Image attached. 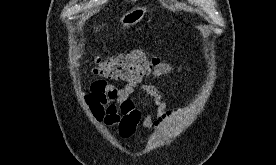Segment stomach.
Segmentation results:
<instances>
[{
    "label": "stomach",
    "mask_w": 276,
    "mask_h": 165,
    "mask_svg": "<svg viewBox=\"0 0 276 165\" xmlns=\"http://www.w3.org/2000/svg\"><path fill=\"white\" fill-rule=\"evenodd\" d=\"M145 13V7L137 6L123 15V17L120 20L121 24L126 27L135 25L142 20Z\"/></svg>",
    "instance_id": "1"
}]
</instances>
